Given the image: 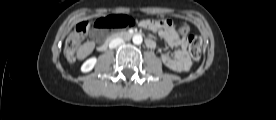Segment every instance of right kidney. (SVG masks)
<instances>
[{"instance_id":"obj_1","label":"right kidney","mask_w":276,"mask_h":120,"mask_svg":"<svg viewBox=\"0 0 276 120\" xmlns=\"http://www.w3.org/2000/svg\"><path fill=\"white\" fill-rule=\"evenodd\" d=\"M97 62V59L95 57L89 58L88 60H86L82 67H81V71L82 72H89L93 69V67L95 66Z\"/></svg>"}]
</instances>
